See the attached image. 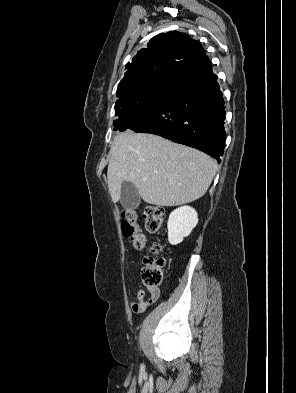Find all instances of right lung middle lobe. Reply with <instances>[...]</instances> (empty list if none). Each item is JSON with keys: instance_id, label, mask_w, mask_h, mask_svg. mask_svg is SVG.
<instances>
[{"instance_id": "1", "label": "right lung middle lobe", "mask_w": 296, "mask_h": 393, "mask_svg": "<svg viewBox=\"0 0 296 393\" xmlns=\"http://www.w3.org/2000/svg\"><path fill=\"white\" fill-rule=\"evenodd\" d=\"M171 77L163 76L149 80L140 94L130 100L116 102L115 112L118 119L114 120V130L122 131L126 124L141 113L156 97L160 88L169 81Z\"/></svg>"}]
</instances>
